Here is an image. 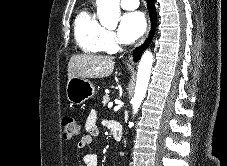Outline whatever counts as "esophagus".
<instances>
[{"label": "esophagus", "mask_w": 227, "mask_h": 166, "mask_svg": "<svg viewBox=\"0 0 227 166\" xmlns=\"http://www.w3.org/2000/svg\"><path fill=\"white\" fill-rule=\"evenodd\" d=\"M149 31H150V26L148 27V30H147L146 34L144 35V37H143V38L141 39V41L137 44V47L144 43V41L146 40V38H147L148 35H149ZM131 59H132V58L130 57V58H129V61H131Z\"/></svg>", "instance_id": "1"}]
</instances>
